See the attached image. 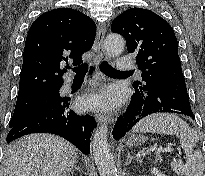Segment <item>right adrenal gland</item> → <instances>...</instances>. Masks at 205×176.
<instances>
[{"instance_id":"1","label":"right adrenal gland","mask_w":205,"mask_h":176,"mask_svg":"<svg viewBox=\"0 0 205 176\" xmlns=\"http://www.w3.org/2000/svg\"><path fill=\"white\" fill-rule=\"evenodd\" d=\"M78 161L75 163L74 169L72 170V174L74 173V171H78L79 173H81V169L77 166Z\"/></svg>"}]
</instances>
